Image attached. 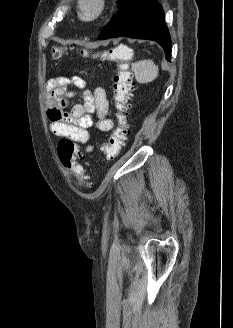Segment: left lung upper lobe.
Here are the masks:
<instances>
[{
    "instance_id": "obj_1",
    "label": "left lung upper lobe",
    "mask_w": 233,
    "mask_h": 328,
    "mask_svg": "<svg viewBox=\"0 0 233 328\" xmlns=\"http://www.w3.org/2000/svg\"><path fill=\"white\" fill-rule=\"evenodd\" d=\"M126 0H117L118 2V9L122 7V5L125 3Z\"/></svg>"
}]
</instances>
